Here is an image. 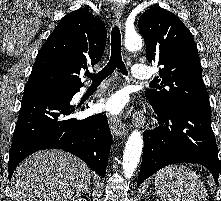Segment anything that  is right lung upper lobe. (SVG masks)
<instances>
[{"label": "right lung upper lobe", "instance_id": "right-lung-upper-lobe-1", "mask_svg": "<svg viewBox=\"0 0 221 201\" xmlns=\"http://www.w3.org/2000/svg\"><path fill=\"white\" fill-rule=\"evenodd\" d=\"M107 38L104 22L78 9L64 16L36 57L25 89H79L82 69L102 57Z\"/></svg>", "mask_w": 221, "mask_h": 201}]
</instances>
